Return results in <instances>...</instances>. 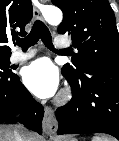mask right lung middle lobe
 Segmentation results:
<instances>
[{"instance_id": "right-lung-middle-lobe-1", "label": "right lung middle lobe", "mask_w": 119, "mask_h": 141, "mask_svg": "<svg viewBox=\"0 0 119 141\" xmlns=\"http://www.w3.org/2000/svg\"><path fill=\"white\" fill-rule=\"evenodd\" d=\"M10 57H0V73L11 75L12 71L10 70Z\"/></svg>"}]
</instances>
